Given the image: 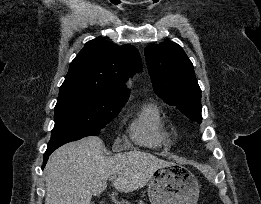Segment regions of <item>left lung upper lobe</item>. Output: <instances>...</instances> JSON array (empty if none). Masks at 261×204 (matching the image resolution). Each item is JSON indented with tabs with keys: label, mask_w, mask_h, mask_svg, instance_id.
I'll list each match as a JSON object with an SVG mask.
<instances>
[{
	"label": "left lung upper lobe",
	"mask_w": 261,
	"mask_h": 204,
	"mask_svg": "<svg viewBox=\"0 0 261 204\" xmlns=\"http://www.w3.org/2000/svg\"><path fill=\"white\" fill-rule=\"evenodd\" d=\"M144 53L155 93L189 119L201 123V89L182 47L166 41L147 46Z\"/></svg>",
	"instance_id": "5c2ea615"
}]
</instances>
